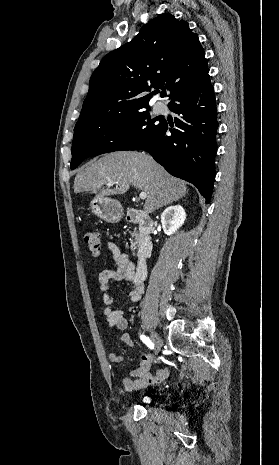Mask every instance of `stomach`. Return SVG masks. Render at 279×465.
Segmentation results:
<instances>
[{
    "label": "stomach",
    "instance_id": "stomach-1",
    "mask_svg": "<svg viewBox=\"0 0 279 465\" xmlns=\"http://www.w3.org/2000/svg\"><path fill=\"white\" fill-rule=\"evenodd\" d=\"M92 212L103 220L116 223L123 215V208L119 201L107 197H95L91 201Z\"/></svg>",
    "mask_w": 279,
    "mask_h": 465
}]
</instances>
